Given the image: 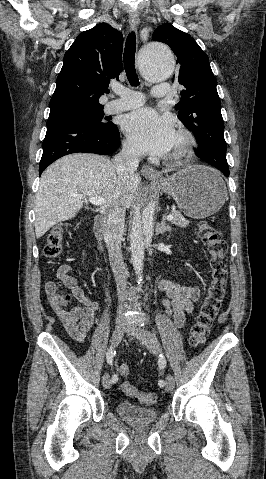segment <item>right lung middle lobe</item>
I'll return each instance as SVG.
<instances>
[{
	"mask_svg": "<svg viewBox=\"0 0 266 479\" xmlns=\"http://www.w3.org/2000/svg\"><path fill=\"white\" fill-rule=\"evenodd\" d=\"M69 118L78 120L96 127L109 126L110 122H104L103 107L98 108H74L50 113L49 118Z\"/></svg>",
	"mask_w": 266,
	"mask_h": 479,
	"instance_id": "obj_1",
	"label": "right lung middle lobe"
}]
</instances>
